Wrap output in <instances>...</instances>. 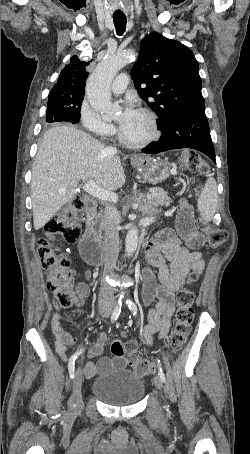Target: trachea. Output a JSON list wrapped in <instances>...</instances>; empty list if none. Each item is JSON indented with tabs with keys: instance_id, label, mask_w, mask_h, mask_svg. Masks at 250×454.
<instances>
[{
	"instance_id": "obj_1",
	"label": "trachea",
	"mask_w": 250,
	"mask_h": 454,
	"mask_svg": "<svg viewBox=\"0 0 250 454\" xmlns=\"http://www.w3.org/2000/svg\"><path fill=\"white\" fill-rule=\"evenodd\" d=\"M113 21L117 35L121 36L126 30V16H113Z\"/></svg>"
}]
</instances>
